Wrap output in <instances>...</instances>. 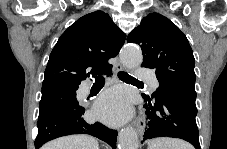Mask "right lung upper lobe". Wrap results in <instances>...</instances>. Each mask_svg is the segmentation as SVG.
Masks as SVG:
<instances>
[{
	"label": "right lung upper lobe",
	"mask_w": 227,
	"mask_h": 149,
	"mask_svg": "<svg viewBox=\"0 0 227 149\" xmlns=\"http://www.w3.org/2000/svg\"><path fill=\"white\" fill-rule=\"evenodd\" d=\"M125 38L110 16L100 10L81 17L53 48L42 88L55 84L78 86L90 73H106L112 68L108 60L118 54Z\"/></svg>",
	"instance_id": "obj_1"
}]
</instances>
